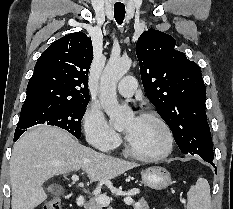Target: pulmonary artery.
<instances>
[{"mask_svg":"<svg viewBox=\"0 0 233 209\" xmlns=\"http://www.w3.org/2000/svg\"><path fill=\"white\" fill-rule=\"evenodd\" d=\"M137 82L133 76H125L118 84V92L124 97H131L136 92Z\"/></svg>","mask_w":233,"mask_h":209,"instance_id":"obj_1","label":"pulmonary artery"}]
</instances>
